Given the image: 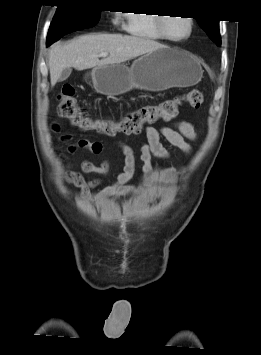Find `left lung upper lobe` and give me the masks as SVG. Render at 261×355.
<instances>
[{
  "mask_svg": "<svg viewBox=\"0 0 261 355\" xmlns=\"http://www.w3.org/2000/svg\"><path fill=\"white\" fill-rule=\"evenodd\" d=\"M202 29L207 33V35L214 41L217 45L221 44L220 33H219V21L218 20H207V19H196Z\"/></svg>",
  "mask_w": 261,
  "mask_h": 355,
  "instance_id": "obj_1",
  "label": "left lung upper lobe"
}]
</instances>
